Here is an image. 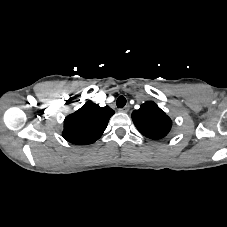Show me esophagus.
I'll use <instances>...</instances> for the list:
<instances>
[{"mask_svg": "<svg viewBox=\"0 0 227 227\" xmlns=\"http://www.w3.org/2000/svg\"><path fill=\"white\" fill-rule=\"evenodd\" d=\"M119 111L122 112V113H127L129 111V106H125L123 108H120Z\"/></svg>", "mask_w": 227, "mask_h": 227, "instance_id": "1", "label": "esophagus"}]
</instances>
